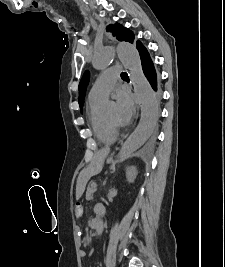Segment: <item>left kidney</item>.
I'll use <instances>...</instances> for the list:
<instances>
[{
	"label": "left kidney",
	"mask_w": 225,
	"mask_h": 267,
	"mask_svg": "<svg viewBox=\"0 0 225 267\" xmlns=\"http://www.w3.org/2000/svg\"><path fill=\"white\" fill-rule=\"evenodd\" d=\"M138 172L135 166L128 167L126 169V178L129 183H133L136 179Z\"/></svg>",
	"instance_id": "1"
}]
</instances>
